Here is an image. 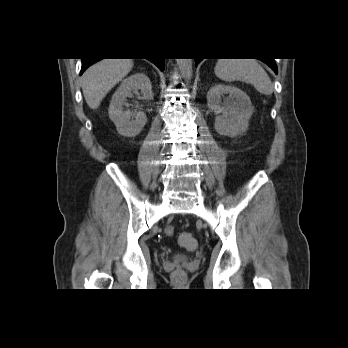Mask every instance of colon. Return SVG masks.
Masks as SVG:
<instances>
[{"instance_id":"1","label":"colon","mask_w":348,"mask_h":348,"mask_svg":"<svg viewBox=\"0 0 348 348\" xmlns=\"http://www.w3.org/2000/svg\"><path fill=\"white\" fill-rule=\"evenodd\" d=\"M172 232H173L172 227H168L167 228V233L171 234ZM179 242H180L182 247H184L185 249L190 250V251L194 250L196 248V246H197V242H196L195 237L192 234H189V233L182 234L179 237ZM174 274L177 277H180V276H182L183 272L181 270H176L174 272Z\"/></svg>"}]
</instances>
